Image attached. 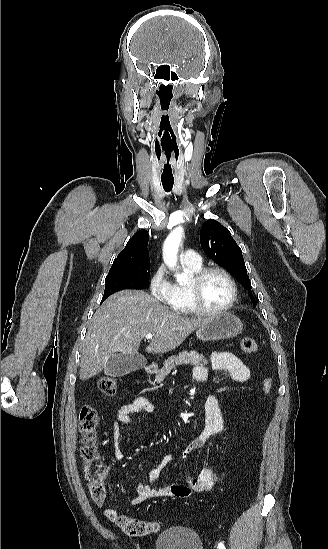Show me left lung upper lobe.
Listing matches in <instances>:
<instances>
[{"label": "left lung upper lobe", "mask_w": 328, "mask_h": 549, "mask_svg": "<svg viewBox=\"0 0 328 549\" xmlns=\"http://www.w3.org/2000/svg\"><path fill=\"white\" fill-rule=\"evenodd\" d=\"M204 252L220 266L231 272L250 291L251 283L247 275L242 251L232 238L229 230L214 219L206 221L200 235Z\"/></svg>", "instance_id": "1"}]
</instances>
